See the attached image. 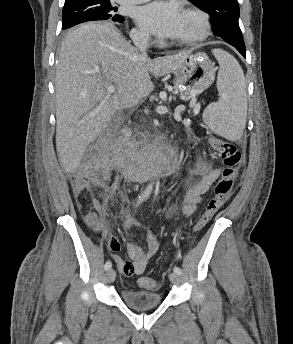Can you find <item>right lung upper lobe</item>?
<instances>
[{"mask_svg": "<svg viewBox=\"0 0 293 344\" xmlns=\"http://www.w3.org/2000/svg\"><path fill=\"white\" fill-rule=\"evenodd\" d=\"M74 1H78V0H65V3H70V2H74Z\"/></svg>", "mask_w": 293, "mask_h": 344, "instance_id": "right-lung-upper-lobe-1", "label": "right lung upper lobe"}]
</instances>
